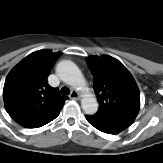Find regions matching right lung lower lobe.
<instances>
[{
  "label": "right lung lower lobe",
  "instance_id": "right-lung-lower-lobe-1",
  "mask_svg": "<svg viewBox=\"0 0 163 163\" xmlns=\"http://www.w3.org/2000/svg\"><path fill=\"white\" fill-rule=\"evenodd\" d=\"M58 115H59V112L56 113L55 115H52V116L47 117V118L25 119V120L19 121L17 123L26 127V128H38V127H41V126L49 123L50 121L54 120Z\"/></svg>",
  "mask_w": 163,
  "mask_h": 163
}]
</instances>
